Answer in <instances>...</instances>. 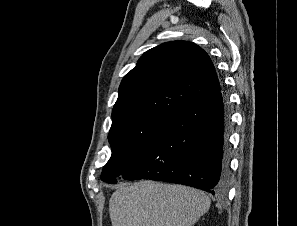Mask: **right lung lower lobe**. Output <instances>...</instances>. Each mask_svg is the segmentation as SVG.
Segmentation results:
<instances>
[{
    "mask_svg": "<svg viewBox=\"0 0 297 226\" xmlns=\"http://www.w3.org/2000/svg\"><path fill=\"white\" fill-rule=\"evenodd\" d=\"M230 117L222 90L184 105L118 179H151L222 193L229 174Z\"/></svg>",
    "mask_w": 297,
    "mask_h": 226,
    "instance_id": "right-lung-lower-lobe-1",
    "label": "right lung lower lobe"
}]
</instances>
